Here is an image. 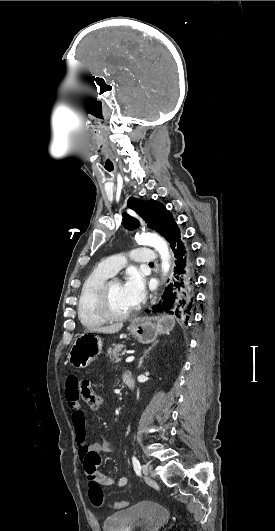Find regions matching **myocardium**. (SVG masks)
<instances>
[{
  "label": "myocardium",
  "instance_id": "f54148a6",
  "mask_svg": "<svg viewBox=\"0 0 275 531\" xmlns=\"http://www.w3.org/2000/svg\"><path fill=\"white\" fill-rule=\"evenodd\" d=\"M115 281L120 282L118 279L111 277L106 279L100 285L95 299V306L99 314H101L106 320L122 321L129 318L134 313V309L122 315H117L112 311L109 301V287L111 283Z\"/></svg>",
  "mask_w": 275,
  "mask_h": 531
}]
</instances>
